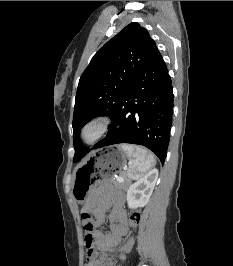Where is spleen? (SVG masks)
I'll return each instance as SVG.
<instances>
[{"label":"spleen","mask_w":233,"mask_h":266,"mask_svg":"<svg viewBox=\"0 0 233 266\" xmlns=\"http://www.w3.org/2000/svg\"><path fill=\"white\" fill-rule=\"evenodd\" d=\"M120 147L126 152L129 159L127 176L130 180L140 179L155 166L156 160L153 154L146 149L130 144H121Z\"/></svg>","instance_id":"1"}]
</instances>
